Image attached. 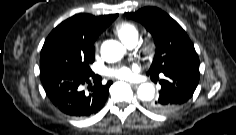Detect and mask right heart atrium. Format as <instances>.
I'll list each match as a JSON object with an SVG mask.
<instances>
[{"label":"right heart atrium","instance_id":"right-heart-atrium-1","mask_svg":"<svg viewBox=\"0 0 236 135\" xmlns=\"http://www.w3.org/2000/svg\"><path fill=\"white\" fill-rule=\"evenodd\" d=\"M98 46H99V44H98V43H96V44H95V48H96V49H98Z\"/></svg>","mask_w":236,"mask_h":135}]
</instances>
